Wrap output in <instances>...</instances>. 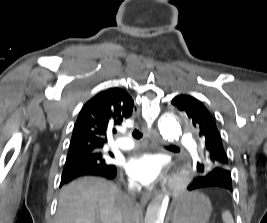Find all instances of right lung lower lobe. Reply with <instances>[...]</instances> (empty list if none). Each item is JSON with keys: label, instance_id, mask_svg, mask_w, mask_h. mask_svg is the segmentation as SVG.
<instances>
[{"label": "right lung lower lobe", "instance_id": "1", "mask_svg": "<svg viewBox=\"0 0 267 223\" xmlns=\"http://www.w3.org/2000/svg\"><path fill=\"white\" fill-rule=\"evenodd\" d=\"M117 170L115 168H108V169H98V170H89L84 172H72V173H62L61 183L62 186L64 183L73 180L74 178L81 177V176H98L107 179H114L116 177Z\"/></svg>", "mask_w": 267, "mask_h": 223}]
</instances>
